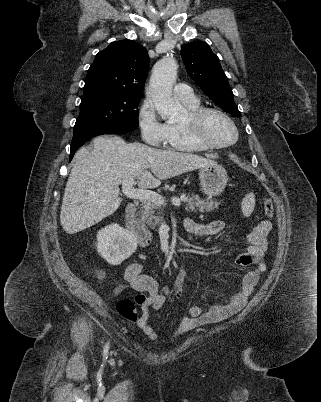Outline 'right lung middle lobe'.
Masks as SVG:
<instances>
[{"label": "right lung middle lobe", "instance_id": "1", "mask_svg": "<svg viewBox=\"0 0 321 402\" xmlns=\"http://www.w3.org/2000/svg\"><path fill=\"white\" fill-rule=\"evenodd\" d=\"M141 96L103 89H84L80 114L74 128L102 125L138 127V104Z\"/></svg>", "mask_w": 321, "mask_h": 402}]
</instances>
